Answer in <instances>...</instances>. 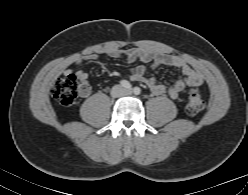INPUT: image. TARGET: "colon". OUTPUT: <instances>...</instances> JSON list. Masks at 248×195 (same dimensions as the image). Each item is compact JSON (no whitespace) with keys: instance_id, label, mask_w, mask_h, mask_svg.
I'll return each instance as SVG.
<instances>
[{"instance_id":"colon-1","label":"colon","mask_w":248,"mask_h":195,"mask_svg":"<svg viewBox=\"0 0 248 195\" xmlns=\"http://www.w3.org/2000/svg\"><path fill=\"white\" fill-rule=\"evenodd\" d=\"M148 59L152 60L153 57L149 56ZM85 88L86 85L80 82L76 75L68 74L58 78L53 83L51 93L53 98L56 99L61 105L70 106L76 101ZM204 106L205 102L199 93V90L197 88L191 89L186 105L187 114L194 116L198 114Z\"/></svg>"}]
</instances>
